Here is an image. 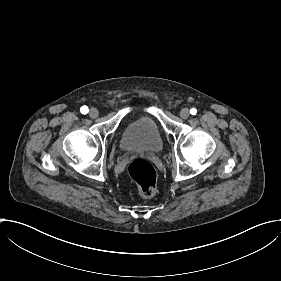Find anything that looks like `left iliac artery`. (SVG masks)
<instances>
[{
	"label": "left iliac artery",
	"mask_w": 281,
	"mask_h": 281,
	"mask_svg": "<svg viewBox=\"0 0 281 281\" xmlns=\"http://www.w3.org/2000/svg\"><path fill=\"white\" fill-rule=\"evenodd\" d=\"M196 113H197V110H196L195 108H192V109L190 110V114L196 115Z\"/></svg>",
	"instance_id": "obj_1"
}]
</instances>
